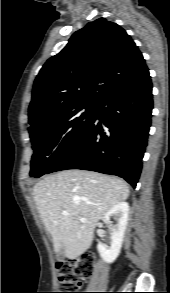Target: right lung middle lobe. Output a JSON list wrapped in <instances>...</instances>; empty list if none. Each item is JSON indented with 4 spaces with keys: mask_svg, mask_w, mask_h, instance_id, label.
Listing matches in <instances>:
<instances>
[{
    "mask_svg": "<svg viewBox=\"0 0 170 293\" xmlns=\"http://www.w3.org/2000/svg\"><path fill=\"white\" fill-rule=\"evenodd\" d=\"M85 109L84 111H82ZM96 105H80L40 126L29 128L34 154L30 176L40 177L78 139L94 120Z\"/></svg>",
    "mask_w": 170,
    "mask_h": 293,
    "instance_id": "right-lung-middle-lobe-1",
    "label": "right lung middle lobe"
}]
</instances>
